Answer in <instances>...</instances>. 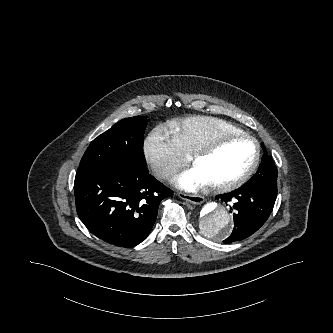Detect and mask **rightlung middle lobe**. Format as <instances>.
Returning <instances> with one entry per match:
<instances>
[{
    "label": "right lung middle lobe",
    "instance_id": "1",
    "mask_svg": "<svg viewBox=\"0 0 333 333\" xmlns=\"http://www.w3.org/2000/svg\"><path fill=\"white\" fill-rule=\"evenodd\" d=\"M146 125L147 120L142 116L119 121L90 143L79 167L107 165L126 170H146L143 155Z\"/></svg>",
    "mask_w": 333,
    "mask_h": 333
}]
</instances>
